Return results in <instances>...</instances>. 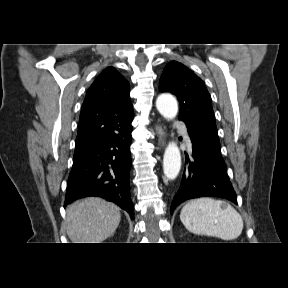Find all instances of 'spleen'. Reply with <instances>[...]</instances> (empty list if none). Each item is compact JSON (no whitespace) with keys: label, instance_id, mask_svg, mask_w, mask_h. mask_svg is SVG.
<instances>
[{"label":"spleen","instance_id":"obj_1","mask_svg":"<svg viewBox=\"0 0 288 288\" xmlns=\"http://www.w3.org/2000/svg\"><path fill=\"white\" fill-rule=\"evenodd\" d=\"M180 220L196 235L236 239L243 230L241 215L227 202L212 198L189 201L181 210Z\"/></svg>","mask_w":288,"mask_h":288}]
</instances>
